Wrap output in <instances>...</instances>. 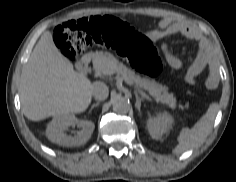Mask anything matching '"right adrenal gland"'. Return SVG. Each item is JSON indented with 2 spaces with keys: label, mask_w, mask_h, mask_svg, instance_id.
I'll use <instances>...</instances> for the list:
<instances>
[{
  "label": "right adrenal gland",
  "mask_w": 236,
  "mask_h": 182,
  "mask_svg": "<svg viewBox=\"0 0 236 182\" xmlns=\"http://www.w3.org/2000/svg\"><path fill=\"white\" fill-rule=\"evenodd\" d=\"M100 101H97L95 104H93L90 108V111L91 112L95 107H97L99 105Z\"/></svg>",
  "instance_id": "1"
}]
</instances>
